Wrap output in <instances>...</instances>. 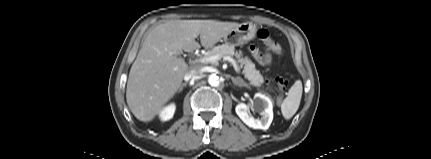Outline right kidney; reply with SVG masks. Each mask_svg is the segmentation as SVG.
I'll use <instances>...</instances> for the list:
<instances>
[{
    "instance_id": "obj_1",
    "label": "right kidney",
    "mask_w": 431,
    "mask_h": 159,
    "mask_svg": "<svg viewBox=\"0 0 431 159\" xmlns=\"http://www.w3.org/2000/svg\"><path fill=\"white\" fill-rule=\"evenodd\" d=\"M174 112H175V105L171 104L161 111L160 118L163 121H167L173 117Z\"/></svg>"
}]
</instances>
